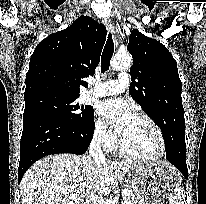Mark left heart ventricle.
I'll return each instance as SVG.
<instances>
[{
  "label": "left heart ventricle",
  "instance_id": "obj_1",
  "mask_svg": "<svg viewBox=\"0 0 206 204\" xmlns=\"http://www.w3.org/2000/svg\"><path fill=\"white\" fill-rule=\"evenodd\" d=\"M126 148L141 156H153L160 150L159 138L152 126L133 116L121 135Z\"/></svg>",
  "mask_w": 206,
  "mask_h": 204
}]
</instances>
